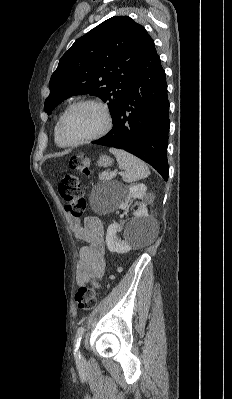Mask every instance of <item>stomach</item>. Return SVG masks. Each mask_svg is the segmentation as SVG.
Listing matches in <instances>:
<instances>
[{
	"instance_id": "obj_1",
	"label": "stomach",
	"mask_w": 232,
	"mask_h": 399,
	"mask_svg": "<svg viewBox=\"0 0 232 399\" xmlns=\"http://www.w3.org/2000/svg\"><path fill=\"white\" fill-rule=\"evenodd\" d=\"M111 164H113L112 158H109V156H99L98 166L107 168V166H111Z\"/></svg>"
}]
</instances>
